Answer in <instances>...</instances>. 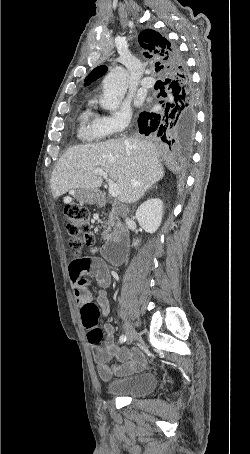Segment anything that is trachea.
<instances>
[{
	"label": "trachea",
	"instance_id": "1",
	"mask_svg": "<svg viewBox=\"0 0 250 454\" xmlns=\"http://www.w3.org/2000/svg\"><path fill=\"white\" fill-rule=\"evenodd\" d=\"M158 69H159V67H158V66H156V70H158Z\"/></svg>",
	"mask_w": 250,
	"mask_h": 454
}]
</instances>
